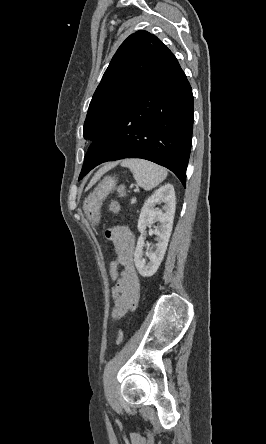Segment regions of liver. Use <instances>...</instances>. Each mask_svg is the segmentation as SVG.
Listing matches in <instances>:
<instances>
[{
  "label": "liver",
  "mask_w": 266,
  "mask_h": 444,
  "mask_svg": "<svg viewBox=\"0 0 266 444\" xmlns=\"http://www.w3.org/2000/svg\"><path fill=\"white\" fill-rule=\"evenodd\" d=\"M117 165V162L106 164L101 168L91 180L89 187L92 186L105 172Z\"/></svg>",
  "instance_id": "1"
}]
</instances>
